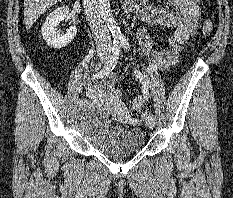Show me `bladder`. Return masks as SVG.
I'll list each match as a JSON object with an SVG mask.
<instances>
[{
	"label": "bladder",
	"mask_w": 233,
	"mask_h": 198,
	"mask_svg": "<svg viewBox=\"0 0 233 198\" xmlns=\"http://www.w3.org/2000/svg\"><path fill=\"white\" fill-rule=\"evenodd\" d=\"M78 128L91 146L107 157L135 154L145 144L142 128L111 127L107 111L100 104H86L82 108Z\"/></svg>",
	"instance_id": "obj_1"
}]
</instances>
